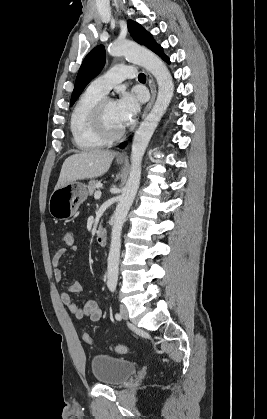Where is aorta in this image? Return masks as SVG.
<instances>
[{"label":"aorta","mask_w":267,"mask_h":419,"mask_svg":"<svg viewBox=\"0 0 267 419\" xmlns=\"http://www.w3.org/2000/svg\"><path fill=\"white\" fill-rule=\"evenodd\" d=\"M108 52L112 56H124L126 60L144 67L155 77L158 84L156 102L134 134L129 177L114 213L108 255L107 286L115 288L118 280L122 227L140 185L142 158L161 117L171 102L174 83L163 61L153 52L133 42H114Z\"/></svg>","instance_id":"obj_1"}]
</instances>
